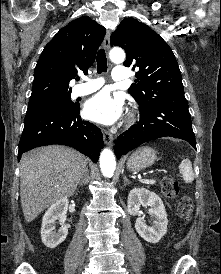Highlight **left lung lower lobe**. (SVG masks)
I'll list each match as a JSON object with an SVG mask.
<instances>
[{
    "instance_id": "1",
    "label": "left lung lower lobe",
    "mask_w": 221,
    "mask_h": 274,
    "mask_svg": "<svg viewBox=\"0 0 221 274\" xmlns=\"http://www.w3.org/2000/svg\"><path fill=\"white\" fill-rule=\"evenodd\" d=\"M139 111L140 121L117 138L115 154L118 159L139 145L163 136L183 139L196 149V140L186 99L140 108Z\"/></svg>"
}]
</instances>
